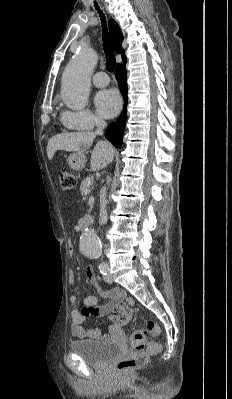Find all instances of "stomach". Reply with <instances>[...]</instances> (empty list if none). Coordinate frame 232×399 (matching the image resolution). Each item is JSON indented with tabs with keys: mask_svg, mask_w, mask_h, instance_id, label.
I'll return each instance as SVG.
<instances>
[{
	"mask_svg": "<svg viewBox=\"0 0 232 399\" xmlns=\"http://www.w3.org/2000/svg\"><path fill=\"white\" fill-rule=\"evenodd\" d=\"M86 162L87 158L85 154H82V152H77V154H71V156L67 158L68 166H70L72 170H76V172H79V170L85 168Z\"/></svg>",
	"mask_w": 232,
	"mask_h": 399,
	"instance_id": "stomach-1",
	"label": "stomach"
}]
</instances>
